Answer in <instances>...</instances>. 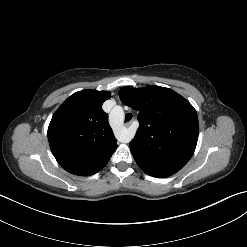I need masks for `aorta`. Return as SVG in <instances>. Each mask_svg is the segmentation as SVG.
Masks as SVG:
<instances>
[{"mask_svg":"<svg viewBox=\"0 0 247 247\" xmlns=\"http://www.w3.org/2000/svg\"><path fill=\"white\" fill-rule=\"evenodd\" d=\"M111 117L117 118L119 123L122 124L124 120V112L121 106H115L111 111ZM135 135V129L132 127L126 128L121 126L117 133V138L122 143H129Z\"/></svg>","mask_w":247,"mask_h":247,"instance_id":"aorta-1","label":"aorta"}]
</instances>
